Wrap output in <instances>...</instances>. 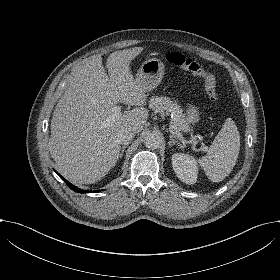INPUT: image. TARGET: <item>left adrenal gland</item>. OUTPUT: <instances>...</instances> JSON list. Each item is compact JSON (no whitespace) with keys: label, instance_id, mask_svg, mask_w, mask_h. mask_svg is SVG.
<instances>
[{"label":"left adrenal gland","instance_id":"left-adrenal-gland-1","mask_svg":"<svg viewBox=\"0 0 280 280\" xmlns=\"http://www.w3.org/2000/svg\"><path fill=\"white\" fill-rule=\"evenodd\" d=\"M170 140L168 142V144H172V143H176L178 146L180 147H184V144H182L181 142H179L178 140H176L172 134H169Z\"/></svg>","mask_w":280,"mask_h":280}]
</instances>
